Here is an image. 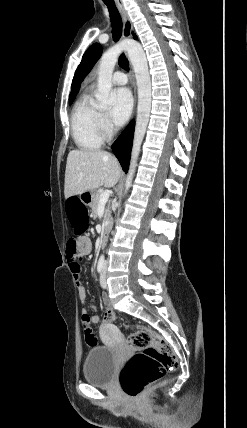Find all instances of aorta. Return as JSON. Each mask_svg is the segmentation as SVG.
I'll use <instances>...</instances> for the list:
<instances>
[{"mask_svg": "<svg viewBox=\"0 0 247 428\" xmlns=\"http://www.w3.org/2000/svg\"><path fill=\"white\" fill-rule=\"evenodd\" d=\"M123 49L124 47L122 46H115L106 51L101 57L98 67V91L96 94L97 103L100 108H106L112 102L110 94L112 74ZM125 49L128 52L129 60L135 72L138 93L137 117L131 161L125 183V192H127L132 184L141 144L149 122L151 110V81L147 59L143 49L139 45L126 46Z\"/></svg>", "mask_w": 247, "mask_h": 428, "instance_id": "762f6f07", "label": "aorta"}]
</instances>
